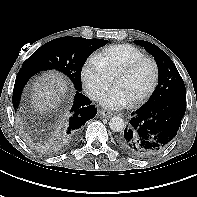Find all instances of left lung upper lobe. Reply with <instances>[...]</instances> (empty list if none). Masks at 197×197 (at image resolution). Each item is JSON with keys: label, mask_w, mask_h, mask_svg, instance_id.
I'll use <instances>...</instances> for the list:
<instances>
[{"label": "left lung upper lobe", "mask_w": 197, "mask_h": 197, "mask_svg": "<svg viewBox=\"0 0 197 197\" xmlns=\"http://www.w3.org/2000/svg\"><path fill=\"white\" fill-rule=\"evenodd\" d=\"M149 52L155 59L159 68L158 85L149 100L143 107L150 106L164 96L185 92L184 82L172 60L158 46L143 40L135 41Z\"/></svg>", "instance_id": "5c2ea615"}]
</instances>
